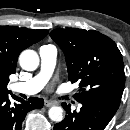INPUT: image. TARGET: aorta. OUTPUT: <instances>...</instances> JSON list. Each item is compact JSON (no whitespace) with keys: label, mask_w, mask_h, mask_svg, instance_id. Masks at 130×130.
<instances>
[{"label":"aorta","mask_w":130,"mask_h":130,"mask_svg":"<svg viewBox=\"0 0 130 130\" xmlns=\"http://www.w3.org/2000/svg\"><path fill=\"white\" fill-rule=\"evenodd\" d=\"M20 66L27 71H34L39 66V56L34 50H25L19 57ZM49 117L52 121L60 122L63 119V109L53 106L49 109Z\"/></svg>","instance_id":"aorta-1"}]
</instances>
